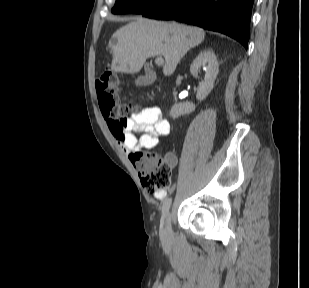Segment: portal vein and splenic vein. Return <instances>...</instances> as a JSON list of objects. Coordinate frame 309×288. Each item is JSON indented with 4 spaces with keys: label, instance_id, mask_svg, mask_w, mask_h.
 Segmentation results:
<instances>
[{
    "label": "portal vein and splenic vein",
    "instance_id": "portal-vein-and-splenic-vein-1",
    "mask_svg": "<svg viewBox=\"0 0 309 288\" xmlns=\"http://www.w3.org/2000/svg\"><path fill=\"white\" fill-rule=\"evenodd\" d=\"M155 63L158 65V66H162L164 64V59L161 57V56H158L156 57L155 59Z\"/></svg>",
    "mask_w": 309,
    "mask_h": 288
}]
</instances>
